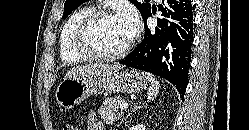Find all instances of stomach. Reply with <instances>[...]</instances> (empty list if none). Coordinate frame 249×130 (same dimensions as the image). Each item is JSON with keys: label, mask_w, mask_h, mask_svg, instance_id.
<instances>
[{"label": "stomach", "mask_w": 249, "mask_h": 130, "mask_svg": "<svg viewBox=\"0 0 249 130\" xmlns=\"http://www.w3.org/2000/svg\"><path fill=\"white\" fill-rule=\"evenodd\" d=\"M147 79L137 71H117L110 75L64 79L57 87L55 98L64 109H72L102 89L105 93H137L146 88Z\"/></svg>", "instance_id": "0dacf381"}]
</instances>
